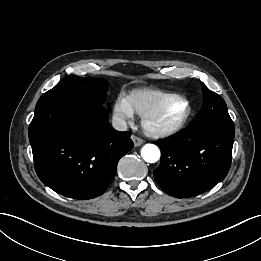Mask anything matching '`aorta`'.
Listing matches in <instances>:
<instances>
[{"label":"aorta","mask_w":261,"mask_h":261,"mask_svg":"<svg viewBox=\"0 0 261 261\" xmlns=\"http://www.w3.org/2000/svg\"><path fill=\"white\" fill-rule=\"evenodd\" d=\"M142 158L148 163H155L160 158V150L154 144H146L141 150Z\"/></svg>","instance_id":"762f6f07"}]
</instances>
